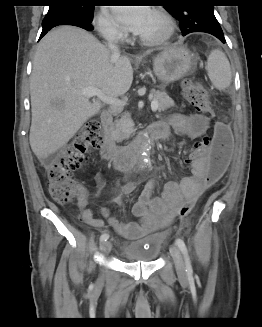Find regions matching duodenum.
Here are the masks:
<instances>
[{"label":"duodenum","mask_w":262,"mask_h":327,"mask_svg":"<svg viewBox=\"0 0 262 327\" xmlns=\"http://www.w3.org/2000/svg\"><path fill=\"white\" fill-rule=\"evenodd\" d=\"M100 120L105 135L99 149L100 157L105 162H113L120 167H135L143 152L159 139V127L155 124L150 127L147 135L137 137L126 146H118L114 139L112 111L104 110Z\"/></svg>","instance_id":"1"}]
</instances>
